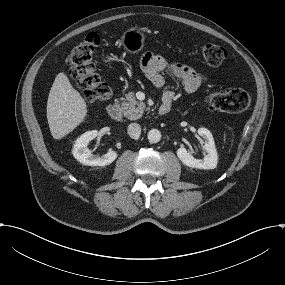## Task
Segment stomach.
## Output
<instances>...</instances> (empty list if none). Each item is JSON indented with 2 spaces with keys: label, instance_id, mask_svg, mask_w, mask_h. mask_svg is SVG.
<instances>
[{
  "label": "stomach",
  "instance_id": "stomach-1",
  "mask_svg": "<svg viewBox=\"0 0 285 285\" xmlns=\"http://www.w3.org/2000/svg\"><path fill=\"white\" fill-rule=\"evenodd\" d=\"M145 36L140 28L133 27L124 32L121 42L130 53L139 52L144 46Z\"/></svg>",
  "mask_w": 285,
  "mask_h": 285
}]
</instances>
